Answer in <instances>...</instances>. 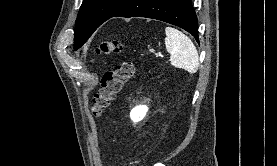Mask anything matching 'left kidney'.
Returning <instances> with one entry per match:
<instances>
[{
    "label": "left kidney",
    "mask_w": 277,
    "mask_h": 166,
    "mask_svg": "<svg viewBox=\"0 0 277 166\" xmlns=\"http://www.w3.org/2000/svg\"><path fill=\"white\" fill-rule=\"evenodd\" d=\"M148 111V107L146 105H139L134 107L130 112V118L133 122L141 121Z\"/></svg>",
    "instance_id": "obj_1"
}]
</instances>
